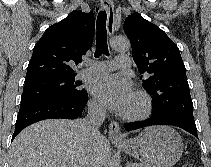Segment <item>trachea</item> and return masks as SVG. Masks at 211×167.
I'll use <instances>...</instances> for the list:
<instances>
[{
  "label": "trachea",
  "mask_w": 211,
  "mask_h": 167,
  "mask_svg": "<svg viewBox=\"0 0 211 167\" xmlns=\"http://www.w3.org/2000/svg\"><path fill=\"white\" fill-rule=\"evenodd\" d=\"M106 12L100 11L97 17L96 29V51L95 57H99L102 54L109 55L108 45H107V31H106Z\"/></svg>",
  "instance_id": "obj_1"
}]
</instances>
